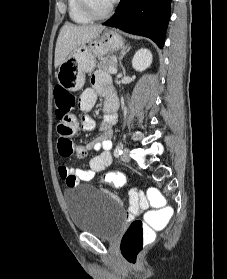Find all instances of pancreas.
<instances>
[{"instance_id":"obj_1","label":"pancreas","mask_w":227,"mask_h":279,"mask_svg":"<svg viewBox=\"0 0 227 279\" xmlns=\"http://www.w3.org/2000/svg\"><path fill=\"white\" fill-rule=\"evenodd\" d=\"M110 67H115L116 68L117 64H116V62L114 61L113 58H109V57L101 59V61L97 65V68L99 70H103L107 73H110V70H109Z\"/></svg>"}]
</instances>
